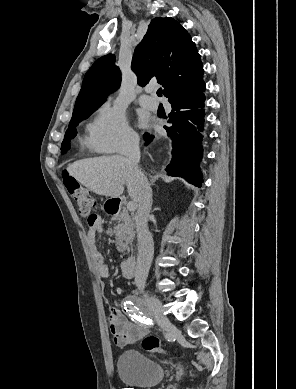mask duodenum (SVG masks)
<instances>
[{
    "instance_id": "obj_1",
    "label": "duodenum",
    "mask_w": 296,
    "mask_h": 389,
    "mask_svg": "<svg viewBox=\"0 0 296 389\" xmlns=\"http://www.w3.org/2000/svg\"><path fill=\"white\" fill-rule=\"evenodd\" d=\"M122 207V203L119 199H113L108 204V213L111 215H117ZM153 250V246L150 240H145L141 246V249L137 256L130 257L121 264L122 275L125 278H132L135 275L137 265L148 258Z\"/></svg>"
}]
</instances>
